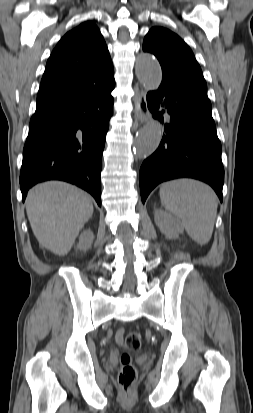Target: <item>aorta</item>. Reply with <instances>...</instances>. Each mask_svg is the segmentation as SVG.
Instances as JSON below:
<instances>
[{"instance_id":"obj_1","label":"aorta","mask_w":253,"mask_h":413,"mask_svg":"<svg viewBox=\"0 0 253 413\" xmlns=\"http://www.w3.org/2000/svg\"><path fill=\"white\" fill-rule=\"evenodd\" d=\"M136 75L139 82L147 90H156L162 81L161 68L157 59L149 54L142 53L136 64ZM162 138L161 126L155 120L147 122L137 133L134 140V150L138 158L143 159L151 155L159 146Z\"/></svg>"}]
</instances>
